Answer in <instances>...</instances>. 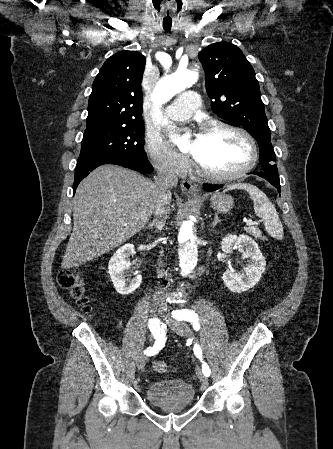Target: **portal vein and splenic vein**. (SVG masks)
<instances>
[{"mask_svg":"<svg viewBox=\"0 0 333 449\" xmlns=\"http://www.w3.org/2000/svg\"><path fill=\"white\" fill-rule=\"evenodd\" d=\"M246 224H247L248 226H251V225H255V224H257V223H254L252 220H247V221H246Z\"/></svg>","mask_w":333,"mask_h":449,"instance_id":"18ae733b","label":"portal vein and splenic vein"}]
</instances>
